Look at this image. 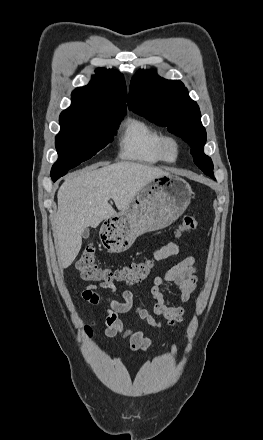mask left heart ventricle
I'll use <instances>...</instances> for the list:
<instances>
[{
    "mask_svg": "<svg viewBox=\"0 0 263 440\" xmlns=\"http://www.w3.org/2000/svg\"><path fill=\"white\" fill-rule=\"evenodd\" d=\"M168 152L171 157L174 155V149L172 146H169Z\"/></svg>",
    "mask_w": 263,
    "mask_h": 440,
    "instance_id": "obj_1",
    "label": "left heart ventricle"
}]
</instances>
